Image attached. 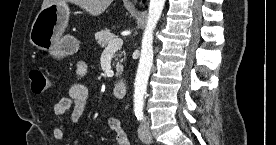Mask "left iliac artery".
<instances>
[{"label":"left iliac artery","mask_w":276,"mask_h":145,"mask_svg":"<svg viewBox=\"0 0 276 145\" xmlns=\"http://www.w3.org/2000/svg\"><path fill=\"white\" fill-rule=\"evenodd\" d=\"M134 112H135V115L138 119V121H142L143 118H144V115H143V107L142 106H136L134 108Z\"/></svg>","instance_id":"obj_1"}]
</instances>
